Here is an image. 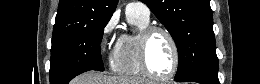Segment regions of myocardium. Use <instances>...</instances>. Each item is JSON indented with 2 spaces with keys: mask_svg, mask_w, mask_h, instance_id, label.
Instances as JSON below:
<instances>
[{
  "mask_svg": "<svg viewBox=\"0 0 260 84\" xmlns=\"http://www.w3.org/2000/svg\"><path fill=\"white\" fill-rule=\"evenodd\" d=\"M156 32L163 33L168 40L170 41L172 51H173V66L172 70L168 75L161 76L158 74H155L148 62V45L151 37ZM138 51H139V62L140 67L143 71V73L148 76L149 78L156 80V81H169L172 78L175 77L177 74L179 67H180V53H179V47L177 44V41L174 37V35L165 27L159 26V25H148L146 28L141 30V33L139 34V41H138Z\"/></svg>",
  "mask_w": 260,
  "mask_h": 84,
  "instance_id": "f54148a6",
  "label": "myocardium"
}]
</instances>
